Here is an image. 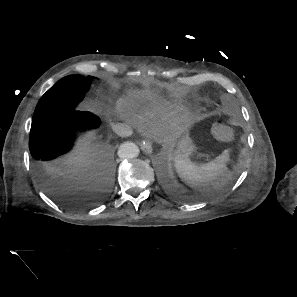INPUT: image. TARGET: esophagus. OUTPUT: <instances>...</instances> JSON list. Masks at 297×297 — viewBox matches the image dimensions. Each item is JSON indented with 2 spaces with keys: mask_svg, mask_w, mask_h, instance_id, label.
<instances>
[{
  "mask_svg": "<svg viewBox=\"0 0 297 297\" xmlns=\"http://www.w3.org/2000/svg\"><path fill=\"white\" fill-rule=\"evenodd\" d=\"M140 146L143 152L150 154L152 152V143L148 139H144L140 142Z\"/></svg>",
  "mask_w": 297,
  "mask_h": 297,
  "instance_id": "34e87169",
  "label": "esophagus"
}]
</instances>
